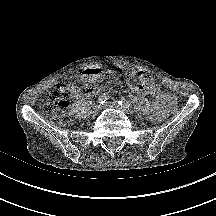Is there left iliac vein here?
Returning a JSON list of instances; mask_svg holds the SVG:
<instances>
[{
  "label": "left iliac vein",
  "instance_id": "left-iliac-vein-1",
  "mask_svg": "<svg viewBox=\"0 0 216 216\" xmlns=\"http://www.w3.org/2000/svg\"><path fill=\"white\" fill-rule=\"evenodd\" d=\"M105 106L110 107V108L120 109V110H122V111H123L124 113H126V114H129V113L131 112L129 108L121 107V106H119L118 103L115 102V101L107 102V103H105Z\"/></svg>",
  "mask_w": 216,
  "mask_h": 216
}]
</instances>
